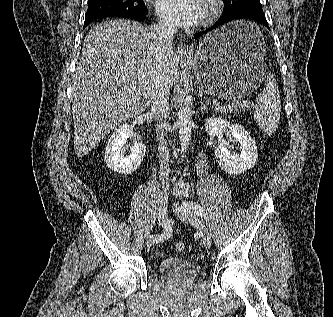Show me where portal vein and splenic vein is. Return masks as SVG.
Segmentation results:
<instances>
[{
	"instance_id": "1",
	"label": "portal vein and splenic vein",
	"mask_w": 333,
	"mask_h": 317,
	"mask_svg": "<svg viewBox=\"0 0 333 317\" xmlns=\"http://www.w3.org/2000/svg\"><path fill=\"white\" fill-rule=\"evenodd\" d=\"M234 103H239V102H234ZM214 104H218V103L215 101ZM253 107H256V105H253Z\"/></svg>"
}]
</instances>
